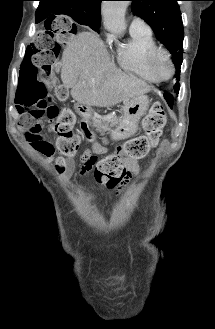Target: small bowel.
I'll list each match as a JSON object with an SVG mask.
<instances>
[{
    "instance_id": "1",
    "label": "small bowel",
    "mask_w": 215,
    "mask_h": 329,
    "mask_svg": "<svg viewBox=\"0 0 215 329\" xmlns=\"http://www.w3.org/2000/svg\"><path fill=\"white\" fill-rule=\"evenodd\" d=\"M21 125H26V126H28L30 128V127H32V122L30 120H28V119H24L23 120L21 118ZM25 134H26V137H27V140H28L29 145L33 149H35L36 151H38L39 153L43 154L46 157L47 160L50 159V157L54 153V150H53V152H51L49 154L48 153H43V152L39 151L35 147L36 136L34 134L30 133V132H27V131H25ZM40 136L50 142V140L46 136H44L42 134V132L40 133ZM92 151L98 153V152L104 151V148L101 145H99L97 143H94L93 144V147H92ZM90 155H91V150L87 149L84 152L83 158L88 157ZM124 164H125V167L127 168V171H128V174H127L126 179L129 180L132 176H134L138 172V165H137L136 161H134L132 159H126L125 162H124Z\"/></svg>"
}]
</instances>
